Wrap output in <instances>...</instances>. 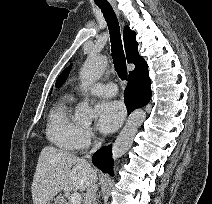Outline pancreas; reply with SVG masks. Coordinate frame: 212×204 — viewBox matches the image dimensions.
<instances>
[{
    "mask_svg": "<svg viewBox=\"0 0 212 204\" xmlns=\"http://www.w3.org/2000/svg\"><path fill=\"white\" fill-rule=\"evenodd\" d=\"M63 204H71V202L69 201V202H64Z\"/></svg>",
    "mask_w": 212,
    "mask_h": 204,
    "instance_id": "cf45deb5",
    "label": "pancreas"
}]
</instances>
